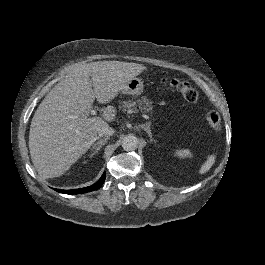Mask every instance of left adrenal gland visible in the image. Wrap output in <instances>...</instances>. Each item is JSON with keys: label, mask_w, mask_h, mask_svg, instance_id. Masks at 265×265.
I'll return each instance as SVG.
<instances>
[{"label": "left adrenal gland", "mask_w": 265, "mask_h": 265, "mask_svg": "<svg viewBox=\"0 0 265 265\" xmlns=\"http://www.w3.org/2000/svg\"><path fill=\"white\" fill-rule=\"evenodd\" d=\"M143 129L145 130V132L148 134V136L151 138L152 136V133H151V130L149 129L150 128V121H148L147 123L145 124H139L137 129Z\"/></svg>", "instance_id": "a2214340"}]
</instances>
